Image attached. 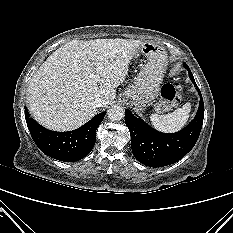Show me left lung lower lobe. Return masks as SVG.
Returning a JSON list of instances; mask_svg holds the SVG:
<instances>
[{
	"mask_svg": "<svg viewBox=\"0 0 233 233\" xmlns=\"http://www.w3.org/2000/svg\"><path fill=\"white\" fill-rule=\"evenodd\" d=\"M188 70L189 78L194 83L200 103L194 119L182 130L176 133H161L130 110H125V123L131 135V148L135 158L150 167H162L173 164L182 159L198 140L204 118V102L194 77Z\"/></svg>",
	"mask_w": 233,
	"mask_h": 233,
	"instance_id": "left-lung-lower-lobe-1",
	"label": "left lung lower lobe"
}]
</instances>
